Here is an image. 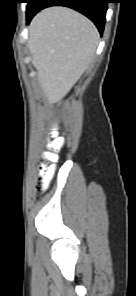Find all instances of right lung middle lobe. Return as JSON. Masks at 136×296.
Masks as SVG:
<instances>
[{"label":"right lung middle lobe","instance_id":"dd1d6c3e","mask_svg":"<svg viewBox=\"0 0 136 296\" xmlns=\"http://www.w3.org/2000/svg\"><path fill=\"white\" fill-rule=\"evenodd\" d=\"M32 1H33V0H28V1H27V3H28V5H27V11H28L29 8H31V2H32Z\"/></svg>","mask_w":136,"mask_h":296}]
</instances>
